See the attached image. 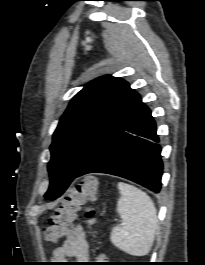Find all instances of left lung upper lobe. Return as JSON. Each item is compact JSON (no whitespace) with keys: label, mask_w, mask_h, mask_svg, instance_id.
I'll return each instance as SVG.
<instances>
[{"label":"left lung upper lobe","mask_w":205,"mask_h":265,"mask_svg":"<svg viewBox=\"0 0 205 265\" xmlns=\"http://www.w3.org/2000/svg\"><path fill=\"white\" fill-rule=\"evenodd\" d=\"M140 103V95L121 78L106 75L86 84L70 101L53 134L45 197H60Z\"/></svg>","instance_id":"left-lung-upper-lobe-1"}]
</instances>
